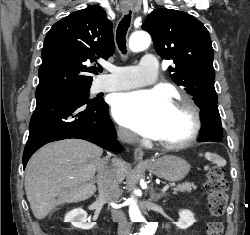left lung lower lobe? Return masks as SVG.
<instances>
[{"label": "left lung lower lobe", "instance_id": "obj_1", "mask_svg": "<svg viewBox=\"0 0 250 235\" xmlns=\"http://www.w3.org/2000/svg\"><path fill=\"white\" fill-rule=\"evenodd\" d=\"M201 120L203 127L200 130L202 135L199 141L219 142L222 136V126L217 104L213 103L202 109Z\"/></svg>", "mask_w": 250, "mask_h": 235}]
</instances>
